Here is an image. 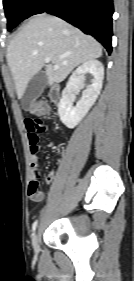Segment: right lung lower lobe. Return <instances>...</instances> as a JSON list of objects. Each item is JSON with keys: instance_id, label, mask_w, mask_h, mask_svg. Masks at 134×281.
<instances>
[{"instance_id": "1", "label": "right lung lower lobe", "mask_w": 134, "mask_h": 281, "mask_svg": "<svg viewBox=\"0 0 134 281\" xmlns=\"http://www.w3.org/2000/svg\"><path fill=\"white\" fill-rule=\"evenodd\" d=\"M43 12L94 36L111 53L113 0H37L29 16Z\"/></svg>"}]
</instances>
